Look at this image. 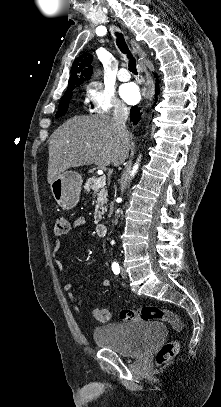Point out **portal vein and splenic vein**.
Segmentation results:
<instances>
[{
	"label": "portal vein and splenic vein",
	"mask_w": 221,
	"mask_h": 407,
	"mask_svg": "<svg viewBox=\"0 0 221 407\" xmlns=\"http://www.w3.org/2000/svg\"><path fill=\"white\" fill-rule=\"evenodd\" d=\"M106 184V177L104 175L100 176L96 181L95 187L101 188Z\"/></svg>",
	"instance_id": "obj_1"
}]
</instances>
